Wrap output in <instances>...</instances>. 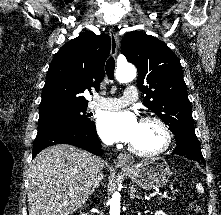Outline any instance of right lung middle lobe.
<instances>
[{
	"label": "right lung middle lobe",
	"instance_id": "right-lung-middle-lobe-1",
	"mask_svg": "<svg viewBox=\"0 0 221 215\" xmlns=\"http://www.w3.org/2000/svg\"><path fill=\"white\" fill-rule=\"evenodd\" d=\"M86 114V106L74 110L43 115L38 120V131L63 125L84 126L92 121Z\"/></svg>",
	"mask_w": 221,
	"mask_h": 215
}]
</instances>
